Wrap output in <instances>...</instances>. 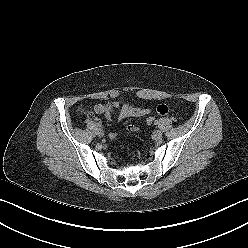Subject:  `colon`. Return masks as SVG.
Returning <instances> with one entry per match:
<instances>
[{"mask_svg":"<svg viewBox=\"0 0 248 248\" xmlns=\"http://www.w3.org/2000/svg\"><path fill=\"white\" fill-rule=\"evenodd\" d=\"M154 120H155V118H154L153 116L147 117V119H146L147 125H149V126H150V125H153Z\"/></svg>","mask_w":248,"mask_h":248,"instance_id":"obj_1","label":"colon"}]
</instances>
